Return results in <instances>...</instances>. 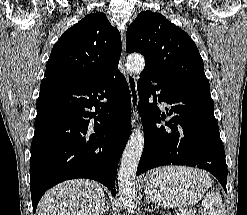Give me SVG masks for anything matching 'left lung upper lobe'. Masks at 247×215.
Wrapping results in <instances>:
<instances>
[{
    "label": "left lung upper lobe",
    "instance_id": "left-lung-upper-lobe-1",
    "mask_svg": "<svg viewBox=\"0 0 247 215\" xmlns=\"http://www.w3.org/2000/svg\"><path fill=\"white\" fill-rule=\"evenodd\" d=\"M126 49L144 55L143 71L210 93L203 60L194 41L160 13L138 14L127 29Z\"/></svg>",
    "mask_w": 247,
    "mask_h": 215
}]
</instances>
